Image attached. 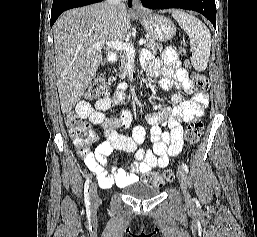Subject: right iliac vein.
I'll return each mask as SVG.
<instances>
[{
  "mask_svg": "<svg viewBox=\"0 0 257 237\" xmlns=\"http://www.w3.org/2000/svg\"><path fill=\"white\" fill-rule=\"evenodd\" d=\"M90 195H91L92 206L95 207L96 205H98V203L100 201L99 195L97 193V185H96V183L92 184L91 190H90Z\"/></svg>",
  "mask_w": 257,
  "mask_h": 237,
  "instance_id": "obj_1",
  "label": "right iliac vein"
}]
</instances>
